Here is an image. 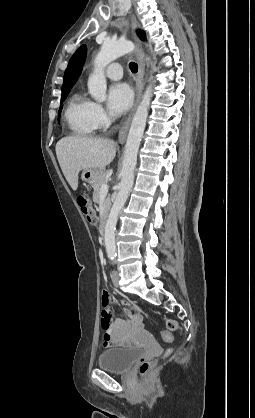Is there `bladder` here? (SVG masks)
Segmentation results:
<instances>
[{
	"label": "bladder",
	"mask_w": 255,
	"mask_h": 418,
	"mask_svg": "<svg viewBox=\"0 0 255 418\" xmlns=\"http://www.w3.org/2000/svg\"><path fill=\"white\" fill-rule=\"evenodd\" d=\"M142 350L134 346L110 348L98 356L99 368L111 372L124 373L141 356Z\"/></svg>",
	"instance_id": "bladder-1"
}]
</instances>
